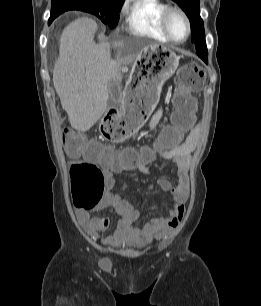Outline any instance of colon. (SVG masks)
Wrapping results in <instances>:
<instances>
[{
    "instance_id": "1",
    "label": "colon",
    "mask_w": 261,
    "mask_h": 306,
    "mask_svg": "<svg viewBox=\"0 0 261 306\" xmlns=\"http://www.w3.org/2000/svg\"><path fill=\"white\" fill-rule=\"evenodd\" d=\"M205 74L203 68L196 63H188L180 68L176 75V91L174 103L176 110L173 113V123L165 126L160 138L153 146H142L139 150L125 149L120 153H113L114 162L135 163L148 160L154 150L164 149L176 144L182 134L192 124V114L195 109L193 94L201 87ZM130 128L122 121L111 118L104 123L103 135L113 142L126 139ZM66 150L72 155L83 153L85 160H77L70 167V181L74 206L78 209L88 208V202L99 197L105 188V179L102 170L94 163L97 160L108 162L109 153L100 147L84 144L79 138L67 134L65 139Z\"/></svg>"
}]
</instances>
